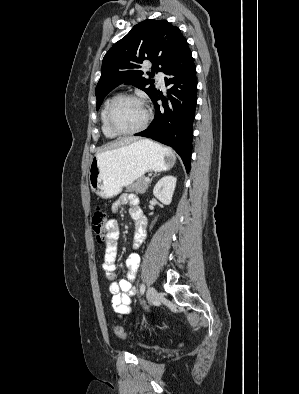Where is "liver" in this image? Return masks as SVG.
<instances>
[{
  "instance_id": "1",
  "label": "liver",
  "mask_w": 299,
  "mask_h": 394,
  "mask_svg": "<svg viewBox=\"0 0 299 394\" xmlns=\"http://www.w3.org/2000/svg\"><path fill=\"white\" fill-rule=\"evenodd\" d=\"M137 140H138V138H134V137L126 138V139L114 142L111 145H109L108 147H106L104 149H100L99 151L109 150V149L117 148L120 146H124V145L130 144V143L137 141Z\"/></svg>"
}]
</instances>
